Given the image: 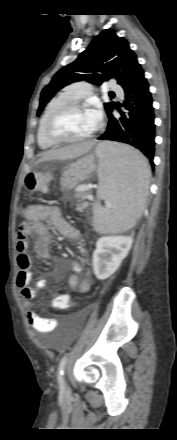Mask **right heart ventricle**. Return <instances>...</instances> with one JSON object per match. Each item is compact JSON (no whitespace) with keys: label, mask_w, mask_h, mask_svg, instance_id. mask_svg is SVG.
I'll list each match as a JSON object with an SVG mask.
<instances>
[{"label":"right heart ventricle","mask_w":177,"mask_h":440,"mask_svg":"<svg viewBox=\"0 0 177 440\" xmlns=\"http://www.w3.org/2000/svg\"><path fill=\"white\" fill-rule=\"evenodd\" d=\"M75 99L68 93V91H63L59 93L58 95L54 96L46 105L37 128V141L39 146L42 149H50L55 147L57 144L50 141L46 135H45V125L48 120V118L51 116V114L56 111L61 106L73 102Z\"/></svg>","instance_id":"e07e8e85"}]
</instances>
